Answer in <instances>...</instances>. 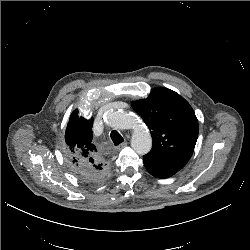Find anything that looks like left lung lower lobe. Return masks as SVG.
Segmentation results:
<instances>
[{
  "label": "left lung lower lobe",
  "mask_w": 250,
  "mask_h": 250,
  "mask_svg": "<svg viewBox=\"0 0 250 250\" xmlns=\"http://www.w3.org/2000/svg\"><path fill=\"white\" fill-rule=\"evenodd\" d=\"M144 166L151 175L157 178H168L176 173V171L158 168L146 161H144Z\"/></svg>",
  "instance_id": "1"
}]
</instances>
